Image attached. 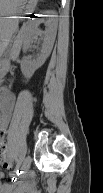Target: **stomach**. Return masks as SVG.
<instances>
[{
  "instance_id": "stomach-1",
  "label": "stomach",
  "mask_w": 103,
  "mask_h": 193,
  "mask_svg": "<svg viewBox=\"0 0 103 193\" xmlns=\"http://www.w3.org/2000/svg\"><path fill=\"white\" fill-rule=\"evenodd\" d=\"M38 0H0V15L2 19V33L3 36L0 42L1 55L5 51L10 36L7 33L11 32V29L7 26L9 20L5 17L13 15H22L30 13L34 10Z\"/></svg>"
}]
</instances>
